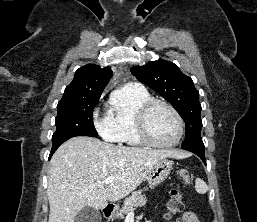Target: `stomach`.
<instances>
[{
    "label": "stomach",
    "instance_id": "0dacf381",
    "mask_svg": "<svg viewBox=\"0 0 257 222\" xmlns=\"http://www.w3.org/2000/svg\"><path fill=\"white\" fill-rule=\"evenodd\" d=\"M171 170V161L167 160L166 158L157 161L147 175V180L150 187L153 188L161 184L167 178ZM111 217H118V213L114 211Z\"/></svg>",
    "mask_w": 257,
    "mask_h": 222
}]
</instances>
